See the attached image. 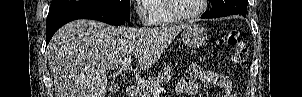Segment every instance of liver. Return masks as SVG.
I'll list each match as a JSON object with an SVG mask.
<instances>
[{
	"label": "liver",
	"mask_w": 302,
	"mask_h": 97,
	"mask_svg": "<svg viewBox=\"0 0 302 97\" xmlns=\"http://www.w3.org/2000/svg\"><path fill=\"white\" fill-rule=\"evenodd\" d=\"M185 27H112L94 20L67 23L47 47L55 97H105L106 70L133 56L141 69H149Z\"/></svg>",
	"instance_id": "liver-1"
}]
</instances>
